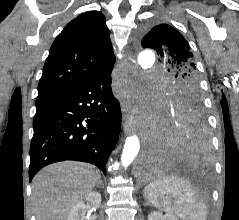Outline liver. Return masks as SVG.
Segmentation results:
<instances>
[{
  "instance_id": "liver-1",
  "label": "liver",
  "mask_w": 239,
  "mask_h": 220,
  "mask_svg": "<svg viewBox=\"0 0 239 220\" xmlns=\"http://www.w3.org/2000/svg\"><path fill=\"white\" fill-rule=\"evenodd\" d=\"M99 179V171L86 163L64 161L43 168L32 181L36 220H66Z\"/></svg>"
}]
</instances>
